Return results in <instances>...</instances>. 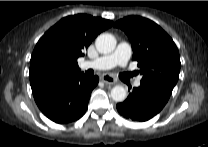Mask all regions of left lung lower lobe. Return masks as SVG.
Masks as SVG:
<instances>
[{
    "label": "left lung lower lobe",
    "instance_id": "0a47b994",
    "mask_svg": "<svg viewBox=\"0 0 208 147\" xmlns=\"http://www.w3.org/2000/svg\"><path fill=\"white\" fill-rule=\"evenodd\" d=\"M171 93L159 86L141 83L124 102L117 104V110L126 119L147 121L162 110Z\"/></svg>",
    "mask_w": 208,
    "mask_h": 147
}]
</instances>
